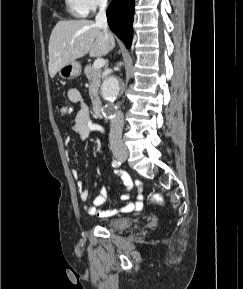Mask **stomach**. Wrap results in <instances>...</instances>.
Segmentation results:
<instances>
[{
	"instance_id": "obj_1",
	"label": "stomach",
	"mask_w": 243,
	"mask_h": 289,
	"mask_svg": "<svg viewBox=\"0 0 243 289\" xmlns=\"http://www.w3.org/2000/svg\"><path fill=\"white\" fill-rule=\"evenodd\" d=\"M81 74V65L77 61H72L59 69L60 77L64 79H72Z\"/></svg>"
}]
</instances>
